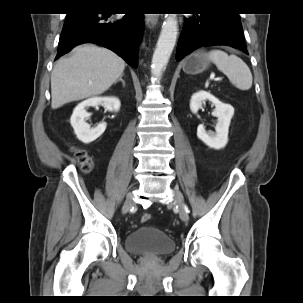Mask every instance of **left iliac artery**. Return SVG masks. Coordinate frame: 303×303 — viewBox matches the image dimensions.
I'll use <instances>...</instances> for the list:
<instances>
[{"label":"left iliac artery","mask_w":303,"mask_h":303,"mask_svg":"<svg viewBox=\"0 0 303 303\" xmlns=\"http://www.w3.org/2000/svg\"><path fill=\"white\" fill-rule=\"evenodd\" d=\"M185 209H186V211L188 212V207H187V206H185Z\"/></svg>","instance_id":"44dca946"}]
</instances>
